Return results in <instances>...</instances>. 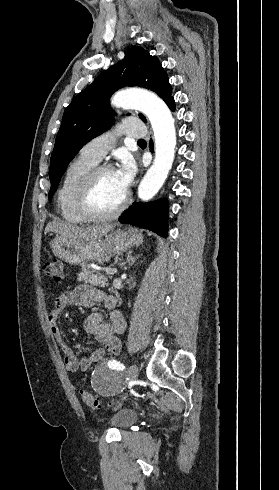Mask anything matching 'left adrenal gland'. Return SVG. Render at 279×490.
Here are the masks:
<instances>
[{
    "label": "left adrenal gland",
    "instance_id": "obj_1",
    "mask_svg": "<svg viewBox=\"0 0 279 490\" xmlns=\"http://www.w3.org/2000/svg\"><path fill=\"white\" fill-rule=\"evenodd\" d=\"M142 256V254H141ZM140 256H137V258H133V256H127V262H129V266H133L135 264L136 260H138Z\"/></svg>",
    "mask_w": 279,
    "mask_h": 490
}]
</instances>
